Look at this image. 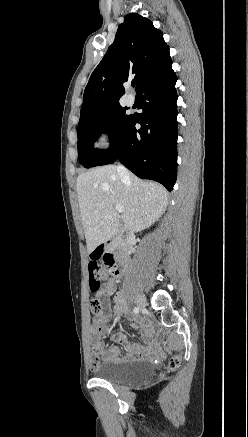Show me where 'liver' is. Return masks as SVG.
<instances>
[{
    "label": "liver",
    "instance_id": "liver-1",
    "mask_svg": "<svg viewBox=\"0 0 248 437\" xmlns=\"http://www.w3.org/2000/svg\"><path fill=\"white\" fill-rule=\"evenodd\" d=\"M76 187L88 253L115 236L119 227L116 205L123 207L125 228L132 232L149 228L168 205V193L161 185L131 173L123 178L114 165L80 174Z\"/></svg>",
    "mask_w": 248,
    "mask_h": 437
}]
</instances>
